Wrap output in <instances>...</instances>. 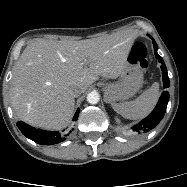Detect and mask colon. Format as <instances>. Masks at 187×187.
<instances>
[{
  "label": "colon",
  "mask_w": 187,
  "mask_h": 187,
  "mask_svg": "<svg viewBox=\"0 0 187 187\" xmlns=\"http://www.w3.org/2000/svg\"><path fill=\"white\" fill-rule=\"evenodd\" d=\"M129 61L139 65L145 73H148V56L146 46L142 42H136L130 51Z\"/></svg>",
  "instance_id": "5ec220e1"
}]
</instances>
